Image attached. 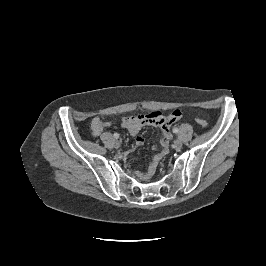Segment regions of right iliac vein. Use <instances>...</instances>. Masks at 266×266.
<instances>
[{"mask_svg":"<svg viewBox=\"0 0 266 266\" xmlns=\"http://www.w3.org/2000/svg\"><path fill=\"white\" fill-rule=\"evenodd\" d=\"M114 145H115L116 148H119L121 144H120V142L118 140H116Z\"/></svg>","mask_w":266,"mask_h":266,"instance_id":"1","label":"right iliac vein"}]
</instances>
